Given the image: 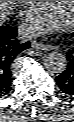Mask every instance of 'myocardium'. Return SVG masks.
Here are the masks:
<instances>
[{
	"instance_id": "myocardium-1",
	"label": "myocardium",
	"mask_w": 74,
	"mask_h": 122,
	"mask_svg": "<svg viewBox=\"0 0 74 122\" xmlns=\"http://www.w3.org/2000/svg\"><path fill=\"white\" fill-rule=\"evenodd\" d=\"M72 22H74V1H73V10L70 19Z\"/></svg>"
}]
</instances>
